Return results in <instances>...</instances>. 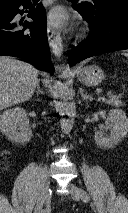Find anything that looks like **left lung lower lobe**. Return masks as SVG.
Returning <instances> with one entry per match:
<instances>
[{
  "label": "left lung lower lobe",
  "mask_w": 128,
  "mask_h": 213,
  "mask_svg": "<svg viewBox=\"0 0 128 213\" xmlns=\"http://www.w3.org/2000/svg\"><path fill=\"white\" fill-rule=\"evenodd\" d=\"M90 23V39L81 46L72 48L68 55L71 64L98 54L128 49V8L114 10L106 17L99 18L80 4L72 5Z\"/></svg>",
  "instance_id": "obj_1"
}]
</instances>
